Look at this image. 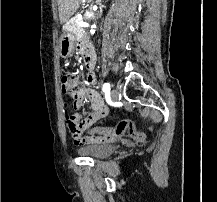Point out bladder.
Masks as SVG:
<instances>
[{
    "instance_id": "1",
    "label": "bladder",
    "mask_w": 217,
    "mask_h": 202,
    "mask_svg": "<svg viewBox=\"0 0 217 202\" xmlns=\"http://www.w3.org/2000/svg\"><path fill=\"white\" fill-rule=\"evenodd\" d=\"M115 149V145L110 143L102 142L96 143L88 147L79 148V152L82 154H87L91 157H105L112 154Z\"/></svg>"
}]
</instances>
